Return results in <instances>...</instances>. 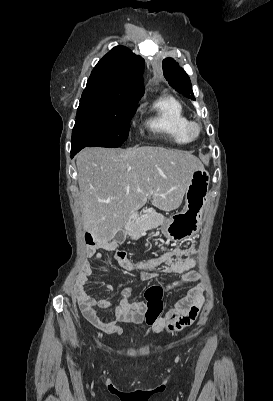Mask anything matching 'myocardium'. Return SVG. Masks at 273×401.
I'll return each instance as SVG.
<instances>
[{"label": "myocardium", "mask_w": 273, "mask_h": 401, "mask_svg": "<svg viewBox=\"0 0 273 401\" xmlns=\"http://www.w3.org/2000/svg\"><path fill=\"white\" fill-rule=\"evenodd\" d=\"M185 133L190 141H198L202 138L204 129L201 122L190 120L186 125Z\"/></svg>", "instance_id": "1"}]
</instances>
